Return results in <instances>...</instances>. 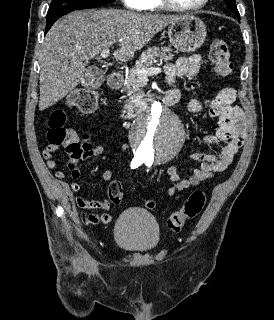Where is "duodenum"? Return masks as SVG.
<instances>
[{
    "mask_svg": "<svg viewBox=\"0 0 274 320\" xmlns=\"http://www.w3.org/2000/svg\"><path fill=\"white\" fill-rule=\"evenodd\" d=\"M122 81H123V74L121 72L114 71V72H111L108 76V84L112 90L119 89ZM179 98H180L179 93L176 91H172L168 93L166 96H164L161 101L165 105H173L178 103ZM150 105H151V100L149 99H142L138 101L132 109L124 112L125 119L126 120L134 119L139 114H141L146 109H148Z\"/></svg>",
    "mask_w": 274,
    "mask_h": 320,
    "instance_id": "obj_1",
    "label": "duodenum"
}]
</instances>
